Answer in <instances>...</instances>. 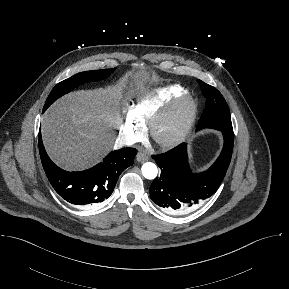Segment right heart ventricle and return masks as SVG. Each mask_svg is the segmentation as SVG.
<instances>
[{
    "label": "right heart ventricle",
    "mask_w": 289,
    "mask_h": 289,
    "mask_svg": "<svg viewBox=\"0 0 289 289\" xmlns=\"http://www.w3.org/2000/svg\"><path fill=\"white\" fill-rule=\"evenodd\" d=\"M184 92L186 89L181 85H169L156 89L152 93L140 97L133 105L132 112L141 123H145L169 101Z\"/></svg>",
    "instance_id": "obj_1"
}]
</instances>
